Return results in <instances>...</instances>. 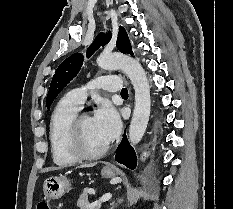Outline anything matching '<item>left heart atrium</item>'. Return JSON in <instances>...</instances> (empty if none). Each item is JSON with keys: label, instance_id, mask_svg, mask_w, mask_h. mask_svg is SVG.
<instances>
[{"label": "left heart atrium", "instance_id": "obj_1", "mask_svg": "<svg viewBox=\"0 0 233 209\" xmlns=\"http://www.w3.org/2000/svg\"><path fill=\"white\" fill-rule=\"evenodd\" d=\"M93 121L101 138L109 143L119 134L121 122L116 110L107 102H103L94 114Z\"/></svg>", "mask_w": 233, "mask_h": 209}]
</instances>
